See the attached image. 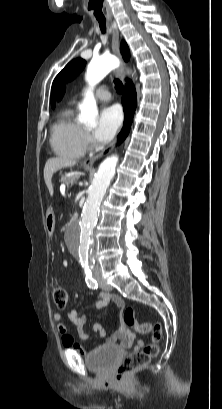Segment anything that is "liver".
I'll list each match as a JSON object with an SVG mask.
<instances>
[{
	"label": "liver",
	"instance_id": "obj_1",
	"mask_svg": "<svg viewBox=\"0 0 222 409\" xmlns=\"http://www.w3.org/2000/svg\"><path fill=\"white\" fill-rule=\"evenodd\" d=\"M76 165V160L67 157H52L47 160L44 167V180L49 190L50 195H53L52 176L55 172L62 168Z\"/></svg>",
	"mask_w": 222,
	"mask_h": 409
}]
</instances>
